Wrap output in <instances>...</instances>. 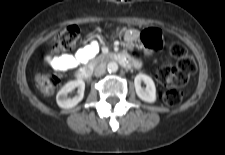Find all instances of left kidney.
Returning a JSON list of instances; mask_svg holds the SVG:
<instances>
[{"label": "left kidney", "mask_w": 225, "mask_h": 155, "mask_svg": "<svg viewBox=\"0 0 225 155\" xmlns=\"http://www.w3.org/2000/svg\"><path fill=\"white\" fill-rule=\"evenodd\" d=\"M141 82H144L146 84V89H143L141 87ZM134 85L136 94L141 100L149 103H153L156 101V87L151 77L140 73L136 75L134 79Z\"/></svg>", "instance_id": "obj_1"}]
</instances>
